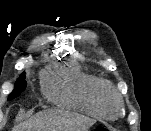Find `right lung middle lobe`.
Listing matches in <instances>:
<instances>
[{
  "instance_id": "obj_1",
  "label": "right lung middle lobe",
  "mask_w": 151,
  "mask_h": 131,
  "mask_svg": "<svg viewBox=\"0 0 151 131\" xmlns=\"http://www.w3.org/2000/svg\"><path fill=\"white\" fill-rule=\"evenodd\" d=\"M27 82L25 81V72L20 75V78L17 79L15 83L14 90L8 96V101L18 97L22 91L26 88Z\"/></svg>"
}]
</instances>
